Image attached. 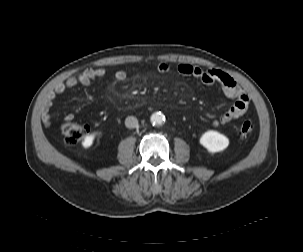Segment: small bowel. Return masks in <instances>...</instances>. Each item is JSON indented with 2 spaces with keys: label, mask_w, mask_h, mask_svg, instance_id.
Instances as JSON below:
<instances>
[{
  "label": "small bowel",
  "mask_w": 303,
  "mask_h": 252,
  "mask_svg": "<svg viewBox=\"0 0 303 252\" xmlns=\"http://www.w3.org/2000/svg\"><path fill=\"white\" fill-rule=\"evenodd\" d=\"M158 70L162 74L170 72V65L167 62H161L158 65ZM176 70L179 75L184 77H194L201 81L206 86L218 84L222 92L229 98L235 99V103L223 114L216 115L211 112H206L204 116L208 119L212 127H220L233 119L243 115L248 110L249 97L237 82L228 74L215 69H204L187 63H178ZM131 74L127 71L118 70L113 74V82H122ZM107 76L106 70L103 68H92L79 72L72 77L60 81L55 84L48 95L42 112V123L49 127L53 124L54 118L51 112L54 101L58 95L64 93L76 85H90L93 83L100 84L105 81ZM74 118L72 113L64 115V120L69 121Z\"/></svg>",
  "instance_id": "obj_1"
}]
</instances>
